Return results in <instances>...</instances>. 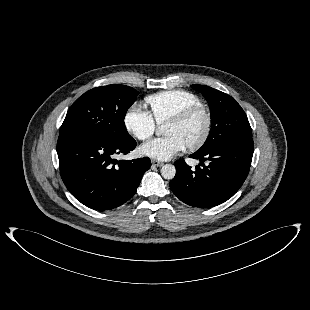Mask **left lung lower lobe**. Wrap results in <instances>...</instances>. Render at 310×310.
Here are the masks:
<instances>
[{
	"label": "left lung lower lobe",
	"instance_id": "left-lung-lower-lobe-1",
	"mask_svg": "<svg viewBox=\"0 0 310 310\" xmlns=\"http://www.w3.org/2000/svg\"><path fill=\"white\" fill-rule=\"evenodd\" d=\"M254 151L252 138L222 144L205 152H195L189 157L201 162L191 170L184 160L175 162L176 175L170 181L173 193L194 207H213L232 197L245 181Z\"/></svg>",
	"mask_w": 310,
	"mask_h": 310
}]
</instances>
